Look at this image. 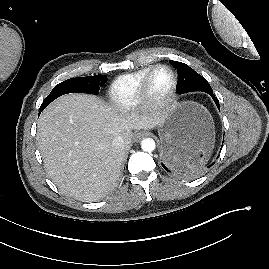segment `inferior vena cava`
<instances>
[{
  "label": "inferior vena cava",
  "instance_id": "1",
  "mask_svg": "<svg viewBox=\"0 0 269 269\" xmlns=\"http://www.w3.org/2000/svg\"><path fill=\"white\" fill-rule=\"evenodd\" d=\"M112 145L115 148H123L124 147V139L121 136H117L113 139Z\"/></svg>",
  "mask_w": 269,
  "mask_h": 269
}]
</instances>
